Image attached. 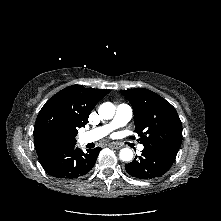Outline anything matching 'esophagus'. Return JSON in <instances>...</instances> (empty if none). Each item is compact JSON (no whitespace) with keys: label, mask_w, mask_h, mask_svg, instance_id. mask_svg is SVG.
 <instances>
[{"label":"esophagus","mask_w":221,"mask_h":221,"mask_svg":"<svg viewBox=\"0 0 221 221\" xmlns=\"http://www.w3.org/2000/svg\"><path fill=\"white\" fill-rule=\"evenodd\" d=\"M109 146L113 149H120L121 148V145L118 143H111V144H109Z\"/></svg>","instance_id":"1"}]
</instances>
